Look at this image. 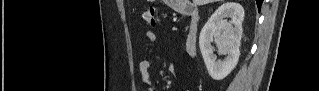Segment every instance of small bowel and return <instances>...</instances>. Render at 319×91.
Returning <instances> with one entry per match:
<instances>
[{"label":"small bowel","instance_id":"c3829d8e","mask_svg":"<svg viewBox=\"0 0 319 91\" xmlns=\"http://www.w3.org/2000/svg\"><path fill=\"white\" fill-rule=\"evenodd\" d=\"M146 38L150 43H154L157 40V35L153 31H147ZM150 68H151V60L150 59L144 58L140 61L139 70H140L142 78L147 86V90L153 91L154 88L151 84V79H150Z\"/></svg>","mask_w":319,"mask_h":91}]
</instances>
